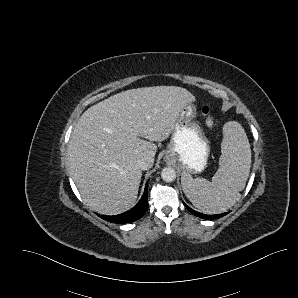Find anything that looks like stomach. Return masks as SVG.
Segmentation results:
<instances>
[{"label": "stomach", "mask_w": 298, "mask_h": 298, "mask_svg": "<svg viewBox=\"0 0 298 298\" xmlns=\"http://www.w3.org/2000/svg\"><path fill=\"white\" fill-rule=\"evenodd\" d=\"M196 117V104L186 102L179 110L164 157L166 162L176 164L183 174H200L208 164L210 145ZM181 182L184 187V181Z\"/></svg>", "instance_id": "stomach-1"}]
</instances>
